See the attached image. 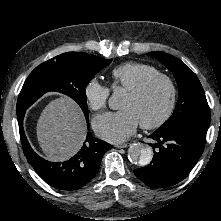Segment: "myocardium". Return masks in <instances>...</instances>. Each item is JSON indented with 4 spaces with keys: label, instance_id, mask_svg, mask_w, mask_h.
<instances>
[{
    "label": "myocardium",
    "instance_id": "myocardium-1",
    "mask_svg": "<svg viewBox=\"0 0 221 221\" xmlns=\"http://www.w3.org/2000/svg\"><path fill=\"white\" fill-rule=\"evenodd\" d=\"M163 81L169 89L167 106L162 115L152 122L140 123L143 129H155L165 124L174 112L177 101V88L174 81L163 73L150 75L127 91V93L139 97L143 95L155 82Z\"/></svg>",
    "mask_w": 221,
    "mask_h": 221
}]
</instances>
